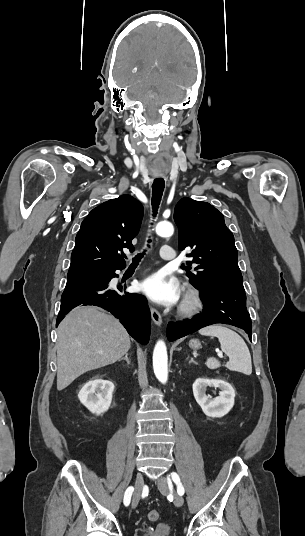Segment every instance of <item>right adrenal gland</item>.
I'll return each instance as SVG.
<instances>
[{"label": "right adrenal gland", "mask_w": 305, "mask_h": 536, "mask_svg": "<svg viewBox=\"0 0 305 536\" xmlns=\"http://www.w3.org/2000/svg\"><path fill=\"white\" fill-rule=\"evenodd\" d=\"M121 360H126L127 364H130L128 354H126L125 358H121ZM120 362V360H119Z\"/></svg>", "instance_id": "obj_1"}]
</instances>
